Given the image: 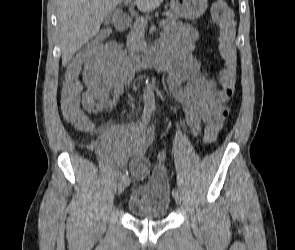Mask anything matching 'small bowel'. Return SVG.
I'll return each mask as SVG.
<instances>
[{"label": "small bowel", "mask_w": 295, "mask_h": 250, "mask_svg": "<svg viewBox=\"0 0 295 250\" xmlns=\"http://www.w3.org/2000/svg\"><path fill=\"white\" fill-rule=\"evenodd\" d=\"M197 39L196 30L177 25L166 31L158 45L168 59L166 67L159 69L166 73L171 94L182 106L186 123L195 136L201 133L203 124L223 123L229 112L226 106L229 97L202 73L193 54ZM121 55L119 45L110 42L96 54L80 51L68 64L66 77L83 79L82 102L89 111L114 106L127 88L129 81L121 80L116 73ZM150 138L142 126L124 125L113 129L112 150L121 161L128 155L133 156L129 167L136 179L143 178L149 171L145 148ZM159 158H164V154Z\"/></svg>", "instance_id": "obj_1"}]
</instances>
